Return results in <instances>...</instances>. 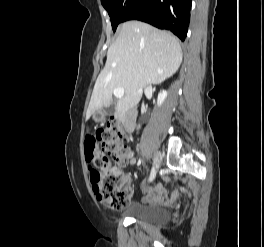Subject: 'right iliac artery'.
Wrapping results in <instances>:
<instances>
[{
  "label": "right iliac artery",
  "instance_id": "obj_1",
  "mask_svg": "<svg viewBox=\"0 0 264 247\" xmlns=\"http://www.w3.org/2000/svg\"><path fill=\"white\" fill-rule=\"evenodd\" d=\"M155 176H156V170H155V168L154 167H152V169H151V173H150V176H149V182H152L153 180H154V178H155Z\"/></svg>",
  "mask_w": 264,
  "mask_h": 247
}]
</instances>
